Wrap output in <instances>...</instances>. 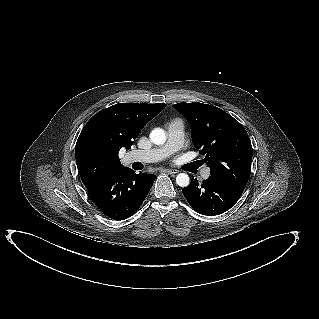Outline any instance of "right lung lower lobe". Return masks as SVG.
<instances>
[{"label":"right lung lower lobe","instance_id":"98d812e1","mask_svg":"<svg viewBox=\"0 0 319 319\" xmlns=\"http://www.w3.org/2000/svg\"><path fill=\"white\" fill-rule=\"evenodd\" d=\"M154 180L153 174H136L124 168L89 188L88 193L106 216L127 219L141 206Z\"/></svg>","mask_w":319,"mask_h":319}]
</instances>
